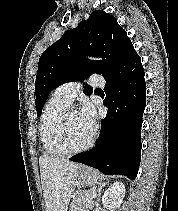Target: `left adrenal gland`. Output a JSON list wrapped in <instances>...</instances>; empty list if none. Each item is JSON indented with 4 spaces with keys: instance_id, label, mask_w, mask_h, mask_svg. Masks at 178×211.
I'll use <instances>...</instances> for the list:
<instances>
[{
    "instance_id": "a2214340",
    "label": "left adrenal gland",
    "mask_w": 178,
    "mask_h": 211,
    "mask_svg": "<svg viewBox=\"0 0 178 211\" xmlns=\"http://www.w3.org/2000/svg\"><path fill=\"white\" fill-rule=\"evenodd\" d=\"M108 182H109V181H107V182H102V183H99V184H98L96 203H98V202L100 201L102 189L106 186V184H108Z\"/></svg>"
}]
</instances>
